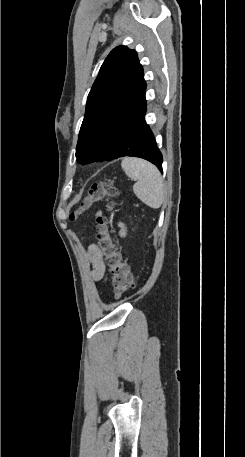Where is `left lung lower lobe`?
<instances>
[{
  "label": "left lung lower lobe",
  "mask_w": 245,
  "mask_h": 457,
  "mask_svg": "<svg viewBox=\"0 0 245 457\" xmlns=\"http://www.w3.org/2000/svg\"><path fill=\"white\" fill-rule=\"evenodd\" d=\"M146 104L138 111L118 114L106 126L87 135L77 152L80 163L139 157L155 164L162 172V154L145 122Z\"/></svg>",
  "instance_id": "left-lung-lower-lobe-1"
}]
</instances>
